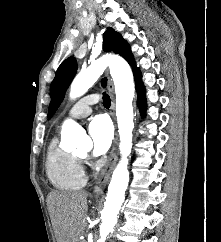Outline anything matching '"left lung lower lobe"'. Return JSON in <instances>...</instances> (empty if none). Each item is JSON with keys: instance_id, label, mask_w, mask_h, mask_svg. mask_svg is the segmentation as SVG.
Masks as SVG:
<instances>
[{"instance_id": "left-lung-lower-lobe-1", "label": "left lung lower lobe", "mask_w": 221, "mask_h": 242, "mask_svg": "<svg viewBox=\"0 0 221 242\" xmlns=\"http://www.w3.org/2000/svg\"><path fill=\"white\" fill-rule=\"evenodd\" d=\"M134 72V78H135V86L138 93V102L139 107L141 109V114H144L145 112V95H144V86L141 81V73L139 69H136Z\"/></svg>"}]
</instances>
